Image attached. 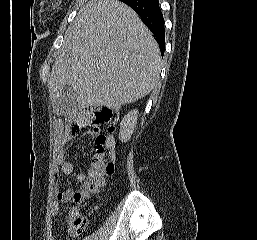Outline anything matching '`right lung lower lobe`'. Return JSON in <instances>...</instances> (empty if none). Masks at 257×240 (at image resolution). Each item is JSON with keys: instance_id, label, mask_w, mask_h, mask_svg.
I'll return each instance as SVG.
<instances>
[{"instance_id": "98d812e1", "label": "right lung lower lobe", "mask_w": 257, "mask_h": 240, "mask_svg": "<svg viewBox=\"0 0 257 240\" xmlns=\"http://www.w3.org/2000/svg\"><path fill=\"white\" fill-rule=\"evenodd\" d=\"M124 3L134 9L143 23L152 31L163 55L165 49L164 19L158 0H127Z\"/></svg>"}]
</instances>
